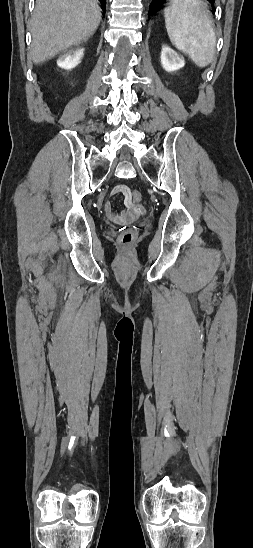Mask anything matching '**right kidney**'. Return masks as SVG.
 Listing matches in <instances>:
<instances>
[{"label":"right kidney","instance_id":"ca27d5eb","mask_svg":"<svg viewBox=\"0 0 253 548\" xmlns=\"http://www.w3.org/2000/svg\"><path fill=\"white\" fill-rule=\"evenodd\" d=\"M83 52L84 49L82 48L67 51L58 58L57 65L63 69L70 70L80 63L83 57Z\"/></svg>","mask_w":253,"mask_h":548}]
</instances>
